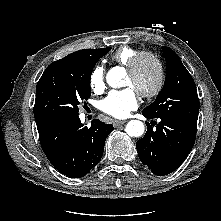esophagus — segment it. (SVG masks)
Returning <instances> with one entry per match:
<instances>
[{"label": "esophagus", "mask_w": 221, "mask_h": 221, "mask_svg": "<svg viewBox=\"0 0 221 221\" xmlns=\"http://www.w3.org/2000/svg\"><path fill=\"white\" fill-rule=\"evenodd\" d=\"M126 121H123V120H115L114 122H113V126L114 127H117V126H119V125H122V124H124Z\"/></svg>", "instance_id": "1"}]
</instances>
